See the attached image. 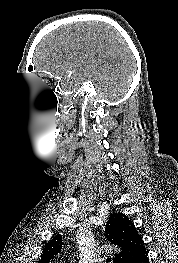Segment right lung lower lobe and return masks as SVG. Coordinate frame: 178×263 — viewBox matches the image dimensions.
I'll list each match as a JSON object with an SVG mask.
<instances>
[{"instance_id":"right-lung-lower-lobe-1","label":"right lung lower lobe","mask_w":178,"mask_h":263,"mask_svg":"<svg viewBox=\"0 0 178 263\" xmlns=\"http://www.w3.org/2000/svg\"><path fill=\"white\" fill-rule=\"evenodd\" d=\"M132 263H149L147 251H143Z\"/></svg>"}]
</instances>
